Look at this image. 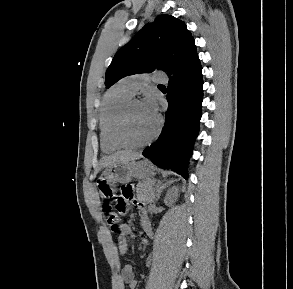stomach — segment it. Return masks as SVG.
Wrapping results in <instances>:
<instances>
[{
  "label": "stomach",
  "instance_id": "1",
  "mask_svg": "<svg viewBox=\"0 0 293 289\" xmlns=\"http://www.w3.org/2000/svg\"><path fill=\"white\" fill-rule=\"evenodd\" d=\"M154 174L153 165L146 160L119 162L109 166L96 185L101 197L110 199L115 196L117 183H128L132 178L150 180Z\"/></svg>",
  "mask_w": 293,
  "mask_h": 289
}]
</instances>
